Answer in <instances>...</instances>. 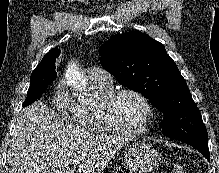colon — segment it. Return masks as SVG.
Segmentation results:
<instances>
[{"label":"colon","mask_w":219,"mask_h":173,"mask_svg":"<svg viewBox=\"0 0 219 173\" xmlns=\"http://www.w3.org/2000/svg\"><path fill=\"white\" fill-rule=\"evenodd\" d=\"M173 173H186V168L183 164H175L172 169Z\"/></svg>","instance_id":"5ec220e1"}]
</instances>
